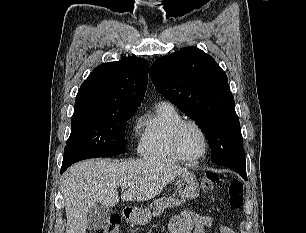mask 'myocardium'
<instances>
[{
    "mask_svg": "<svg viewBox=\"0 0 306 233\" xmlns=\"http://www.w3.org/2000/svg\"><path fill=\"white\" fill-rule=\"evenodd\" d=\"M187 126H193L195 127L202 135L203 139H204V151L203 153L196 157V158H188L184 155V153L181 150L180 147V137L182 134V131L187 127ZM172 146H173V150L175 152V154L178 156V158L184 162H188V163H194V162H198L202 159H204L208 152H209V148H210V143H209V138L208 135L205 131V129L196 121L194 120H183L181 121L174 129L173 131V135H172Z\"/></svg>",
    "mask_w": 306,
    "mask_h": 233,
    "instance_id": "obj_1",
    "label": "myocardium"
}]
</instances>
